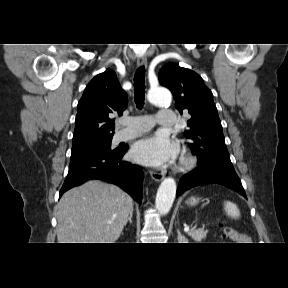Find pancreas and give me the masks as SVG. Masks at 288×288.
<instances>
[{"instance_id":"obj_1","label":"pancreas","mask_w":288,"mask_h":288,"mask_svg":"<svg viewBox=\"0 0 288 288\" xmlns=\"http://www.w3.org/2000/svg\"><path fill=\"white\" fill-rule=\"evenodd\" d=\"M188 235L194 240V241H201L205 239L207 235V231L204 230V228L200 229H192L191 231L188 232Z\"/></svg>"}]
</instances>
